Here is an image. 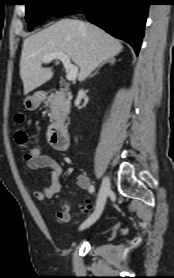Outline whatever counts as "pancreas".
<instances>
[{
    "label": "pancreas",
    "instance_id": "obj_1",
    "mask_svg": "<svg viewBox=\"0 0 174 278\" xmlns=\"http://www.w3.org/2000/svg\"><path fill=\"white\" fill-rule=\"evenodd\" d=\"M50 104L51 119L64 121L69 114L71 106V97L65 90L51 94L47 100Z\"/></svg>",
    "mask_w": 174,
    "mask_h": 278
}]
</instances>
